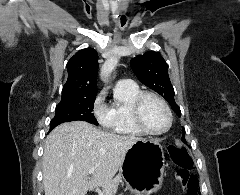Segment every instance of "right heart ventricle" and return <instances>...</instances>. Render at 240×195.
Masks as SVG:
<instances>
[{
  "label": "right heart ventricle",
  "instance_id": "e07e8e85",
  "mask_svg": "<svg viewBox=\"0 0 240 195\" xmlns=\"http://www.w3.org/2000/svg\"><path fill=\"white\" fill-rule=\"evenodd\" d=\"M140 92V87L134 82H119L116 85L114 100L109 107L111 116L103 123L107 131H114L115 137H133L144 134L136 125L133 117V102Z\"/></svg>",
  "mask_w": 240,
  "mask_h": 195
}]
</instances>
